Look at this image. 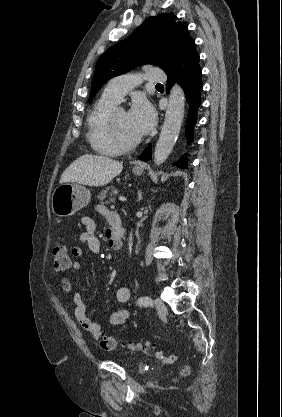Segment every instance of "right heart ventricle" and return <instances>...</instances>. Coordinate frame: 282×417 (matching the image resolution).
I'll return each mask as SVG.
<instances>
[{"mask_svg":"<svg viewBox=\"0 0 282 417\" xmlns=\"http://www.w3.org/2000/svg\"><path fill=\"white\" fill-rule=\"evenodd\" d=\"M116 104L117 102L102 95L88 117L87 138L92 147L104 155H111L118 151L103 126L108 114Z\"/></svg>","mask_w":282,"mask_h":417,"instance_id":"obj_1","label":"right heart ventricle"}]
</instances>
